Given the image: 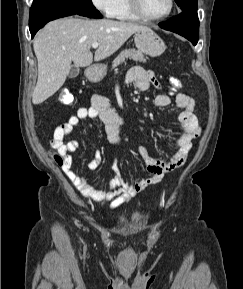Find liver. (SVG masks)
I'll return each instance as SVG.
<instances>
[{"label":"liver","mask_w":243,"mask_h":289,"mask_svg":"<svg viewBox=\"0 0 243 289\" xmlns=\"http://www.w3.org/2000/svg\"><path fill=\"white\" fill-rule=\"evenodd\" d=\"M144 28L136 23L110 19L69 17L49 22L33 42L38 61V79L32 94L33 104L44 102L62 87L72 62L77 67L92 64V43H99L94 60L101 61L110 57L134 33Z\"/></svg>","instance_id":"obj_1"}]
</instances>
